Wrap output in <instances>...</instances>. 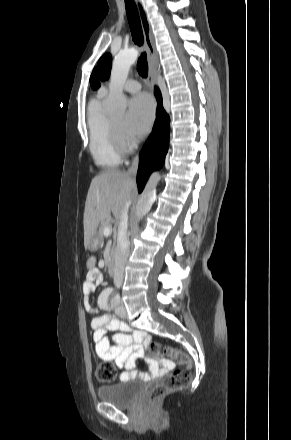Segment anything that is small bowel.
Returning <instances> with one entry per match:
<instances>
[{
    "label": "small bowel",
    "instance_id": "c3829d8e",
    "mask_svg": "<svg viewBox=\"0 0 291 440\" xmlns=\"http://www.w3.org/2000/svg\"><path fill=\"white\" fill-rule=\"evenodd\" d=\"M95 260H89L91 274L89 280L83 285V306L90 313H96V308L91 301V295L95 290V282L101 280V274L94 269ZM99 306L107 308L108 295L105 293L99 298ZM114 319L111 316H95L92 320L93 341L98 357L105 362H111L121 371L123 379H133L146 382L166 375L174 369L175 364L171 360H157L146 357L149 364V372L144 373L134 370L136 362L145 356V348L149 341V335L141 331H136L132 335L114 334L112 335L113 345L109 342L107 332L113 327Z\"/></svg>",
    "mask_w": 291,
    "mask_h": 440
}]
</instances>
